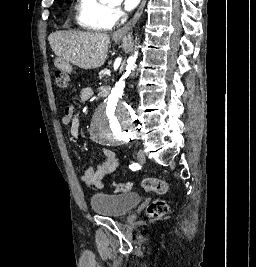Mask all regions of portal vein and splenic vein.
Here are the masks:
<instances>
[{"label":"portal vein and splenic vein","mask_w":256,"mask_h":267,"mask_svg":"<svg viewBox=\"0 0 256 267\" xmlns=\"http://www.w3.org/2000/svg\"><path fill=\"white\" fill-rule=\"evenodd\" d=\"M105 75H106V76H109V75H110L109 68H106Z\"/></svg>","instance_id":"1"}]
</instances>
